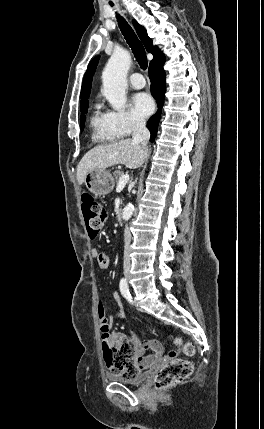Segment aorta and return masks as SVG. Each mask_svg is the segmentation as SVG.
Listing matches in <instances>:
<instances>
[{"mask_svg":"<svg viewBox=\"0 0 264 429\" xmlns=\"http://www.w3.org/2000/svg\"><path fill=\"white\" fill-rule=\"evenodd\" d=\"M131 65L130 53L122 48L114 50L102 73L103 95L111 107L119 111L126 103L127 72ZM134 212V205L129 203L122 212V218L129 220Z\"/></svg>","mask_w":264,"mask_h":429,"instance_id":"aorta-1","label":"aorta"}]
</instances>
